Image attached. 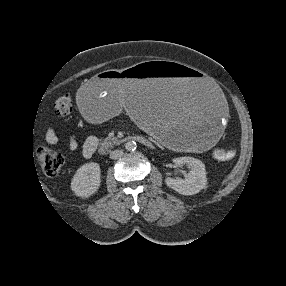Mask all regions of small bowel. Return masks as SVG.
<instances>
[{"label":"small bowel","instance_id":"small-bowel-1","mask_svg":"<svg viewBox=\"0 0 286 286\" xmlns=\"http://www.w3.org/2000/svg\"><path fill=\"white\" fill-rule=\"evenodd\" d=\"M46 140L50 144L57 142V136L52 129L46 132ZM66 147L69 151H80L84 158H90L95 153L98 147V138L94 135L87 137L83 142H80L75 135H70L66 142ZM225 154L231 157V153L226 150Z\"/></svg>","mask_w":286,"mask_h":286}]
</instances>
